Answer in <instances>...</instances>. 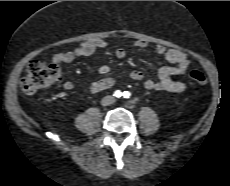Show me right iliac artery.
Instances as JSON below:
<instances>
[{
	"instance_id": "right-iliac-artery-1",
	"label": "right iliac artery",
	"mask_w": 230,
	"mask_h": 186,
	"mask_svg": "<svg viewBox=\"0 0 230 186\" xmlns=\"http://www.w3.org/2000/svg\"><path fill=\"white\" fill-rule=\"evenodd\" d=\"M122 92L120 90H116L113 94V96H115L116 98H120L122 96Z\"/></svg>"
}]
</instances>
